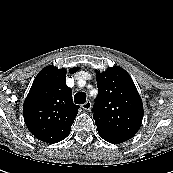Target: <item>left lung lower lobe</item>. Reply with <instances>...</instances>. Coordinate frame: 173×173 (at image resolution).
<instances>
[{
    "label": "left lung lower lobe",
    "mask_w": 173,
    "mask_h": 173,
    "mask_svg": "<svg viewBox=\"0 0 173 173\" xmlns=\"http://www.w3.org/2000/svg\"><path fill=\"white\" fill-rule=\"evenodd\" d=\"M103 138V137H102ZM104 140H106L107 142H109V143H113V144H119V143H116V142H114V141H111V140H108V139H105V138H103Z\"/></svg>",
    "instance_id": "1"
}]
</instances>
